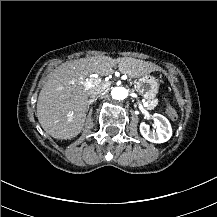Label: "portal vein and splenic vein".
<instances>
[{
	"label": "portal vein and splenic vein",
	"instance_id": "18ae733b",
	"mask_svg": "<svg viewBox=\"0 0 217 217\" xmlns=\"http://www.w3.org/2000/svg\"><path fill=\"white\" fill-rule=\"evenodd\" d=\"M88 86L91 87L92 86V83L90 81H88Z\"/></svg>",
	"mask_w": 217,
	"mask_h": 217
}]
</instances>
